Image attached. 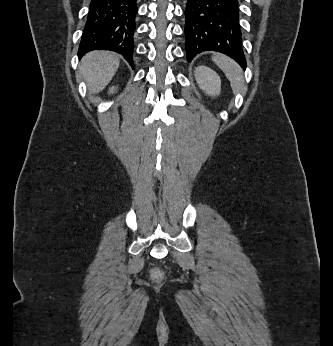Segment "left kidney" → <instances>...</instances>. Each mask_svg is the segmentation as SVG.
Returning a JSON list of instances; mask_svg holds the SVG:
<instances>
[{"label": "left kidney", "mask_w": 333, "mask_h": 346, "mask_svg": "<svg viewBox=\"0 0 333 346\" xmlns=\"http://www.w3.org/2000/svg\"><path fill=\"white\" fill-rule=\"evenodd\" d=\"M195 78L199 87L208 95H219L221 90V79L219 75L206 66H198L195 69Z\"/></svg>", "instance_id": "5707ae66"}]
</instances>
